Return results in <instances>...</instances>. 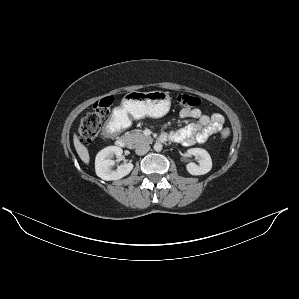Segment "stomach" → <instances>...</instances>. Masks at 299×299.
Returning a JSON list of instances; mask_svg holds the SVG:
<instances>
[{
  "instance_id": "1",
  "label": "stomach",
  "mask_w": 299,
  "mask_h": 299,
  "mask_svg": "<svg viewBox=\"0 0 299 299\" xmlns=\"http://www.w3.org/2000/svg\"><path fill=\"white\" fill-rule=\"evenodd\" d=\"M170 105L168 92L131 91L122 99L121 112L124 116L129 115L133 119H141L145 116L160 118L168 113Z\"/></svg>"
}]
</instances>
